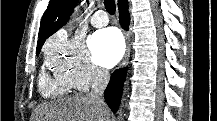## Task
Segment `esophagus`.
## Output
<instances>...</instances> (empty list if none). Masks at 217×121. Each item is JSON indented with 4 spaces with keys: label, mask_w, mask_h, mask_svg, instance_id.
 Returning <instances> with one entry per match:
<instances>
[{
    "label": "esophagus",
    "mask_w": 217,
    "mask_h": 121,
    "mask_svg": "<svg viewBox=\"0 0 217 121\" xmlns=\"http://www.w3.org/2000/svg\"><path fill=\"white\" fill-rule=\"evenodd\" d=\"M125 38H126V51L123 60L120 64V68H123L127 65L130 57V52H131L130 34L128 32L125 33Z\"/></svg>",
    "instance_id": "obj_1"
}]
</instances>
